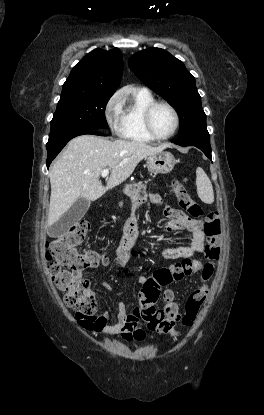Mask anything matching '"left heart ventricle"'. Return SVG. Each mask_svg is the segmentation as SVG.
<instances>
[{
    "label": "left heart ventricle",
    "instance_id": "1",
    "mask_svg": "<svg viewBox=\"0 0 264 415\" xmlns=\"http://www.w3.org/2000/svg\"><path fill=\"white\" fill-rule=\"evenodd\" d=\"M152 126L158 135H166L174 127V116L165 106H158L152 114Z\"/></svg>",
    "mask_w": 264,
    "mask_h": 415
}]
</instances>
